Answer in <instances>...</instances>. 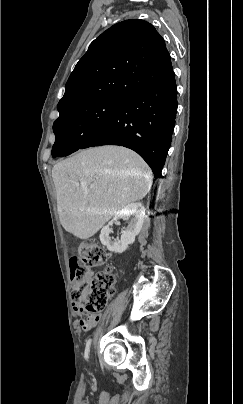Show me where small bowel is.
Masks as SVG:
<instances>
[{
	"instance_id": "1",
	"label": "small bowel",
	"mask_w": 243,
	"mask_h": 404,
	"mask_svg": "<svg viewBox=\"0 0 243 404\" xmlns=\"http://www.w3.org/2000/svg\"><path fill=\"white\" fill-rule=\"evenodd\" d=\"M74 311L77 315H81L84 312V307L81 304H76L74 306ZM100 319L99 315H95V316H87L86 318H79L78 320V326L84 330V331H88L90 329H92L93 327L96 326V324L98 323Z\"/></svg>"
}]
</instances>
